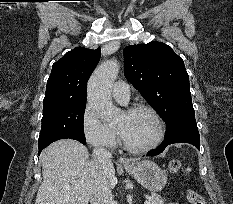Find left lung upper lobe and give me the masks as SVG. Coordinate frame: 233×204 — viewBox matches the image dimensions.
Returning <instances> with one entry per match:
<instances>
[{
	"label": "left lung upper lobe",
	"mask_w": 233,
	"mask_h": 204,
	"mask_svg": "<svg viewBox=\"0 0 233 204\" xmlns=\"http://www.w3.org/2000/svg\"><path fill=\"white\" fill-rule=\"evenodd\" d=\"M125 77L166 122L165 138L180 130H197L183 60L162 42L127 46Z\"/></svg>",
	"instance_id": "obj_1"
}]
</instances>
